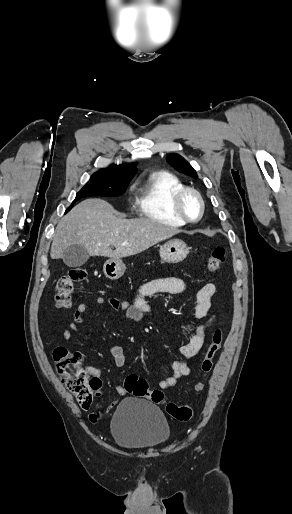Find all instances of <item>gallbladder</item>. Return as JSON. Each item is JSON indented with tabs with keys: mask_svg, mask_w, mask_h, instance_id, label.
Masks as SVG:
<instances>
[{
	"mask_svg": "<svg viewBox=\"0 0 292 514\" xmlns=\"http://www.w3.org/2000/svg\"><path fill=\"white\" fill-rule=\"evenodd\" d=\"M88 258L89 254L83 244H72V246L65 248L62 254V260L69 268H79V266H83Z\"/></svg>",
	"mask_w": 292,
	"mask_h": 514,
	"instance_id": "obj_1",
	"label": "gallbladder"
}]
</instances>
